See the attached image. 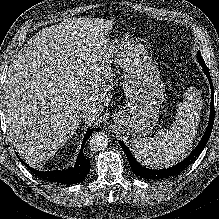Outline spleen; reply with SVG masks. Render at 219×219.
Returning a JSON list of instances; mask_svg holds the SVG:
<instances>
[{
    "mask_svg": "<svg viewBox=\"0 0 219 219\" xmlns=\"http://www.w3.org/2000/svg\"><path fill=\"white\" fill-rule=\"evenodd\" d=\"M200 109L196 90L188 89L170 129H161L152 138L132 140L134 157L149 168H164L181 160L196 136Z\"/></svg>",
    "mask_w": 219,
    "mask_h": 219,
    "instance_id": "3e777b00",
    "label": "spleen"
}]
</instances>
